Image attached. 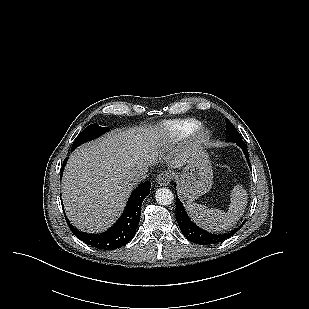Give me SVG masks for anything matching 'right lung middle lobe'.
I'll return each instance as SVG.
<instances>
[{
	"label": "right lung middle lobe",
	"instance_id": "1",
	"mask_svg": "<svg viewBox=\"0 0 309 309\" xmlns=\"http://www.w3.org/2000/svg\"><path fill=\"white\" fill-rule=\"evenodd\" d=\"M108 130H109L108 127H101V126H98V124L89 125L79 134V136L74 141L71 149H75L79 145L101 136L103 133L107 132Z\"/></svg>",
	"mask_w": 309,
	"mask_h": 309
}]
</instances>
